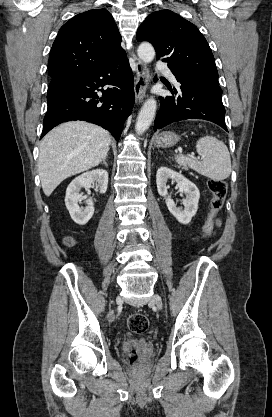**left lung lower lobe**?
Listing matches in <instances>:
<instances>
[{
    "label": "left lung lower lobe",
    "instance_id": "1",
    "mask_svg": "<svg viewBox=\"0 0 272 417\" xmlns=\"http://www.w3.org/2000/svg\"><path fill=\"white\" fill-rule=\"evenodd\" d=\"M178 85L167 86L175 96L161 97L154 130L185 119H204L227 130L222 93L212 91L181 75L173 73ZM156 80V78L154 79Z\"/></svg>",
    "mask_w": 272,
    "mask_h": 417
}]
</instances>
